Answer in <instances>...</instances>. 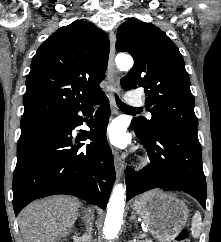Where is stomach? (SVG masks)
<instances>
[{
  "label": "stomach",
  "mask_w": 221,
  "mask_h": 242,
  "mask_svg": "<svg viewBox=\"0 0 221 242\" xmlns=\"http://www.w3.org/2000/svg\"><path fill=\"white\" fill-rule=\"evenodd\" d=\"M132 209L160 242H170L186 225V204L161 190L149 191L133 201Z\"/></svg>",
  "instance_id": "0dacf381"
}]
</instances>
